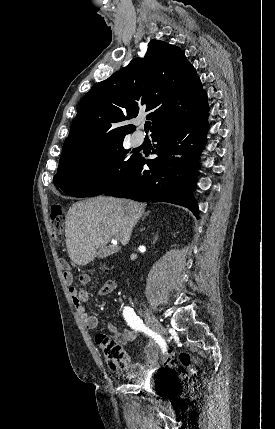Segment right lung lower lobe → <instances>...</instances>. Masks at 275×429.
Returning a JSON list of instances; mask_svg holds the SVG:
<instances>
[{"instance_id": "98d812e1", "label": "right lung lower lobe", "mask_w": 275, "mask_h": 429, "mask_svg": "<svg viewBox=\"0 0 275 429\" xmlns=\"http://www.w3.org/2000/svg\"><path fill=\"white\" fill-rule=\"evenodd\" d=\"M207 111L151 134L152 141L157 142L152 154L158 157L147 161L149 170L143 169L146 161L140 156L133 170L103 194L181 205L198 218V205L189 192L196 181L197 158L206 140Z\"/></svg>"}]
</instances>
